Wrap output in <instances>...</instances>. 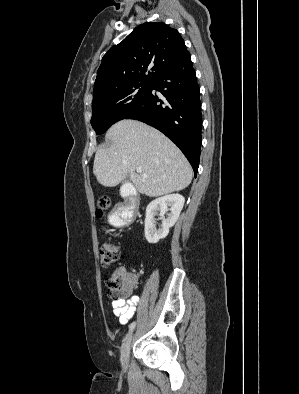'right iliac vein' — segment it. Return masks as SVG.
<instances>
[{
	"label": "right iliac vein",
	"instance_id": "obj_1",
	"mask_svg": "<svg viewBox=\"0 0 299 394\" xmlns=\"http://www.w3.org/2000/svg\"><path fill=\"white\" fill-rule=\"evenodd\" d=\"M132 337H133V334L131 333L126 338V340H125V342L123 343V346H122V350H121V364H122V366L124 368H126L128 366Z\"/></svg>",
	"mask_w": 299,
	"mask_h": 394
}]
</instances>
